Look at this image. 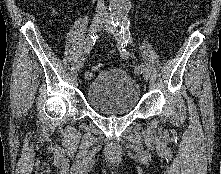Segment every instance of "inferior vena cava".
<instances>
[{
    "instance_id": "1",
    "label": "inferior vena cava",
    "mask_w": 221,
    "mask_h": 174,
    "mask_svg": "<svg viewBox=\"0 0 221 174\" xmlns=\"http://www.w3.org/2000/svg\"><path fill=\"white\" fill-rule=\"evenodd\" d=\"M96 14L98 16H102V17L108 16L106 7H105L104 3L101 1H98L97 8H96Z\"/></svg>"
}]
</instances>
